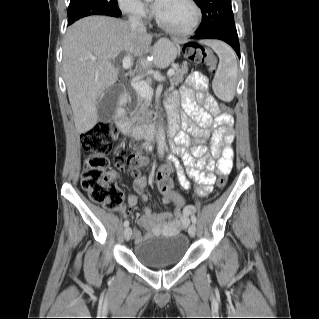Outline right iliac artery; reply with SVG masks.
I'll use <instances>...</instances> for the list:
<instances>
[{
    "label": "right iliac artery",
    "instance_id": "obj_1",
    "mask_svg": "<svg viewBox=\"0 0 319 319\" xmlns=\"http://www.w3.org/2000/svg\"><path fill=\"white\" fill-rule=\"evenodd\" d=\"M124 226H125V227L129 226V221L126 220V221L124 222Z\"/></svg>",
    "mask_w": 319,
    "mask_h": 319
}]
</instances>
